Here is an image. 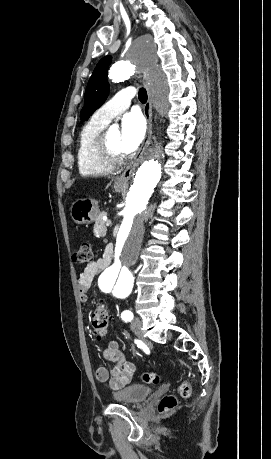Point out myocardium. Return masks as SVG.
Masks as SVG:
<instances>
[{
    "mask_svg": "<svg viewBox=\"0 0 271 459\" xmlns=\"http://www.w3.org/2000/svg\"><path fill=\"white\" fill-rule=\"evenodd\" d=\"M108 131H103L93 146V157L98 161L120 163L126 157V151L115 150L108 141Z\"/></svg>",
    "mask_w": 271,
    "mask_h": 459,
    "instance_id": "myocardium-1",
    "label": "myocardium"
}]
</instances>
